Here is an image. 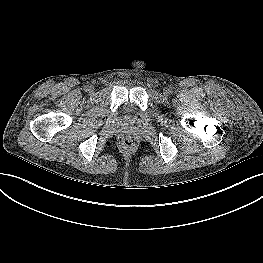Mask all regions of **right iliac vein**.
I'll return each instance as SVG.
<instances>
[{"label":"right iliac vein","mask_w":263,"mask_h":263,"mask_svg":"<svg viewBox=\"0 0 263 263\" xmlns=\"http://www.w3.org/2000/svg\"><path fill=\"white\" fill-rule=\"evenodd\" d=\"M93 89H94V88H93L92 86L89 87V91H93Z\"/></svg>","instance_id":"63e3f726"}]
</instances>
